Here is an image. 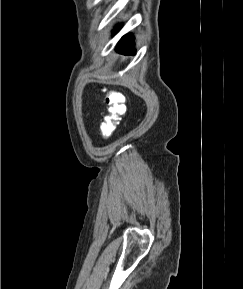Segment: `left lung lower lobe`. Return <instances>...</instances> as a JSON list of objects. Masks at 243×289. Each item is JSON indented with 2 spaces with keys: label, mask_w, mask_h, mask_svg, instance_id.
Returning a JSON list of instances; mask_svg holds the SVG:
<instances>
[{
  "label": "left lung lower lobe",
  "mask_w": 243,
  "mask_h": 289,
  "mask_svg": "<svg viewBox=\"0 0 243 289\" xmlns=\"http://www.w3.org/2000/svg\"><path fill=\"white\" fill-rule=\"evenodd\" d=\"M119 29H115V32H118ZM133 45V37L130 35L124 36L121 41L119 42V45L117 46V51L119 53L127 54V55H135V50L132 48Z\"/></svg>",
  "instance_id": "1"
}]
</instances>
